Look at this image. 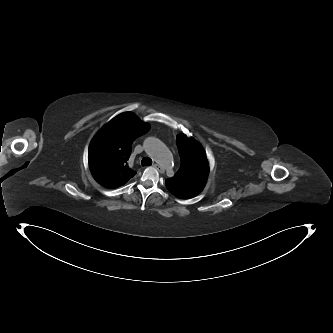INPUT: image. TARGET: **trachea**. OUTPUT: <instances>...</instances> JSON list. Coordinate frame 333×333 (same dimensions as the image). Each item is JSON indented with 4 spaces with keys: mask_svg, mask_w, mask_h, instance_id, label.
Here are the masks:
<instances>
[{
    "mask_svg": "<svg viewBox=\"0 0 333 333\" xmlns=\"http://www.w3.org/2000/svg\"><path fill=\"white\" fill-rule=\"evenodd\" d=\"M142 166H151L152 160L149 157H144L141 161Z\"/></svg>",
    "mask_w": 333,
    "mask_h": 333,
    "instance_id": "1",
    "label": "trachea"
}]
</instances>
